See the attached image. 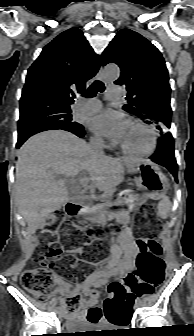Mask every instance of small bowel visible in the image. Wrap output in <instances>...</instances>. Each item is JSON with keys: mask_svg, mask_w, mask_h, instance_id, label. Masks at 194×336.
I'll use <instances>...</instances> for the list:
<instances>
[{"mask_svg": "<svg viewBox=\"0 0 194 336\" xmlns=\"http://www.w3.org/2000/svg\"><path fill=\"white\" fill-rule=\"evenodd\" d=\"M124 219V218H122ZM138 256V245L129 227H126L116 238L111 247V256L106 262L94 265V270L74 287H60L56 295L63 298L81 293L87 297L81 303L80 310L70 316L71 320L86 322L89 326L107 322L101 315L97 306L98 295L95 289L107 284L110 279L117 276H128L135 270ZM143 289L148 291L147 286L142 284ZM63 307V305H62Z\"/></svg>", "mask_w": 194, "mask_h": 336, "instance_id": "1", "label": "small bowel"}]
</instances>
